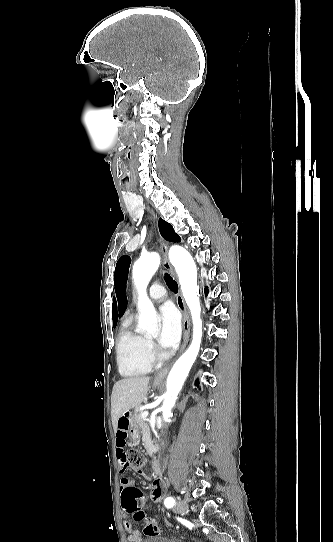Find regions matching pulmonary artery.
<instances>
[{
  "label": "pulmonary artery",
  "instance_id": "obj_1",
  "mask_svg": "<svg viewBox=\"0 0 333 542\" xmlns=\"http://www.w3.org/2000/svg\"><path fill=\"white\" fill-rule=\"evenodd\" d=\"M155 284L149 286V297L154 302H162L166 298V293H162L163 289L161 285Z\"/></svg>",
  "mask_w": 333,
  "mask_h": 542
}]
</instances>
